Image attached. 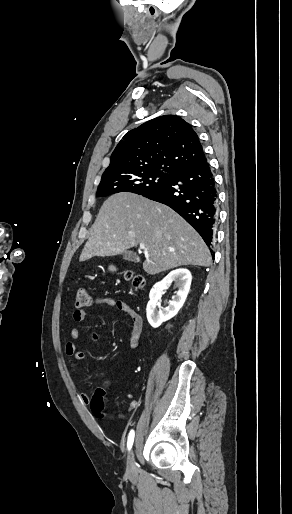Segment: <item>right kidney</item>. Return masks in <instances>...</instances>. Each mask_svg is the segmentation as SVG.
Returning a JSON list of instances; mask_svg holds the SVG:
<instances>
[{
  "mask_svg": "<svg viewBox=\"0 0 292 514\" xmlns=\"http://www.w3.org/2000/svg\"><path fill=\"white\" fill-rule=\"evenodd\" d=\"M172 282H176L178 292H174L176 296H173L167 308H161L159 300L162 298V292L163 290H167V288L171 286ZM191 282L192 276L189 270H186V268H179V270H173V272H170L162 282H157V284L153 286L149 294L150 300L146 308L147 320L149 324H151L152 328H159L163 322L170 320V318H173V316L178 314L188 296Z\"/></svg>",
  "mask_w": 292,
  "mask_h": 514,
  "instance_id": "1",
  "label": "right kidney"
}]
</instances>
